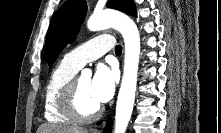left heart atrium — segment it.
I'll return each instance as SVG.
<instances>
[{"label":"left heart atrium","instance_id":"obj_1","mask_svg":"<svg viewBox=\"0 0 221 133\" xmlns=\"http://www.w3.org/2000/svg\"><path fill=\"white\" fill-rule=\"evenodd\" d=\"M117 73L104 64H100L91 80V92L95 100L101 104L109 101L115 91Z\"/></svg>","mask_w":221,"mask_h":133}]
</instances>
